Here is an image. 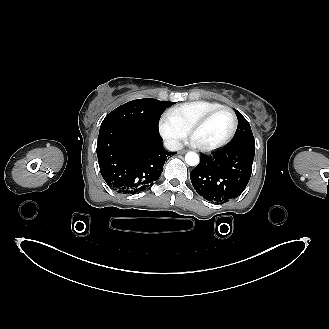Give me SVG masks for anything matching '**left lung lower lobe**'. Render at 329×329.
Returning a JSON list of instances; mask_svg holds the SVG:
<instances>
[{"label": "left lung lower lobe", "instance_id": "left-lung-lower-lobe-1", "mask_svg": "<svg viewBox=\"0 0 329 329\" xmlns=\"http://www.w3.org/2000/svg\"><path fill=\"white\" fill-rule=\"evenodd\" d=\"M255 154V143L228 145L211 155H201L191 171L193 187L204 199L225 203L246 188Z\"/></svg>", "mask_w": 329, "mask_h": 329}]
</instances>
